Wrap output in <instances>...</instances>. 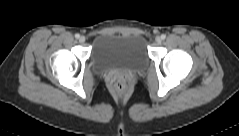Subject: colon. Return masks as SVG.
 <instances>
[{
  "instance_id": "5ec220e1",
  "label": "colon",
  "mask_w": 239,
  "mask_h": 136,
  "mask_svg": "<svg viewBox=\"0 0 239 136\" xmlns=\"http://www.w3.org/2000/svg\"><path fill=\"white\" fill-rule=\"evenodd\" d=\"M112 89L116 93H125L127 90V82L123 78H116L112 84Z\"/></svg>"
}]
</instances>
